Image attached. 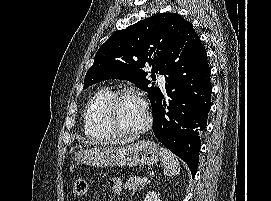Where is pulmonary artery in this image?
<instances>
[{
    "label": "pulmonary artery",
    "instance_id": "e3ab8cb5",
    "mask_svg": "<svg viewBox=\"0 0 271 201\" xmlns=\"http://www.w3.org/2000/svg\"><path fill=\"white\" fill-rule=\"evenodd\" d=\"M158 82H159L160 86L162 87V89H165L166 81H165V77L163 75L158 76Z\"/></svg>",
    "mask_w": 271,
    "mask_h": 201
}]
</instances>
